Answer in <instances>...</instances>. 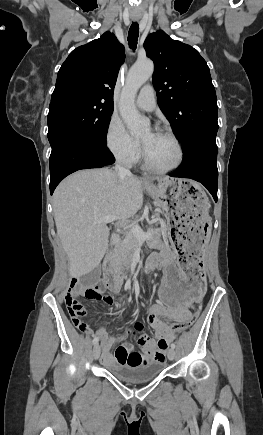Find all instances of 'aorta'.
Returning a JSON list of instances; mask_svg holds the SVG:
<instances>
[{
  "label": "aorta",
  "instance_id": "1",
  "mask_svg": "<svg viewBox=\"0 0 263 435\" xmlns=\"http://www.w3.org/2000/svg\"><path fill=\"white\" fill-rule=\"evenodd\" d=\"M153 62L145 60L134 64L129 70L120 102V114L133 136H142L150 129L149 121L140 116L135 106L138 89L152 76Z\"/></svg>",
  "mask_w": 263,
  "mask_h": 435
}]
</instances>
